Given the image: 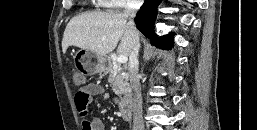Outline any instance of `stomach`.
Returning a JSON list of instances; mask_svg holds the SVG:
<instances>
[{
    "mask_svg": "<svg viewBox=\"0 0 257 130\" xmlns=\"http://www.w3.org/2000/svg\"><path fill=\"white\" fill-rule=\"evenodd\" d=\"M75 60L87 75H94L103 71L107 62L105 56L98 55L87 49H80L75 55Z\"/></svg>",
    "mask_w": 257,
    "mask_h": 130,
    "instance_id": "obj_1",
    "label": "stomach"
}]
</instances>
